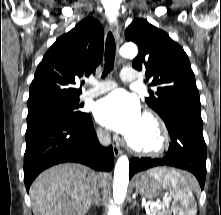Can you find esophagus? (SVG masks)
<instances>
[{
  "label": "esophagus",
  "instance_id": "34e87169",
  "mask_svg": "<svg viewBox=\"0 0 221 215\" xmlns=\"http://www.w3.org/2000/svg\"><path fill=\"white\" fill-rule=\"evenodd\" d=\"M110 29L116 39L117 48H119V46H120V28H119L118 22L116 20L112 21L110 23ZM113 152L116 157H118L122 154L121 148L116 144H113Z\"/></svg>",
  "mask_w": 221,
  "mask_h": 215
}]
</instances>
